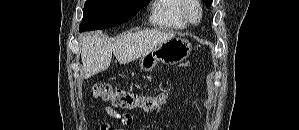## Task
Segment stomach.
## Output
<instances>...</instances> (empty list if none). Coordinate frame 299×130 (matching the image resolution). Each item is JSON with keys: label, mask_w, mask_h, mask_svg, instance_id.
Instances as JSON below:
<instances>
[{"label": "stomach", "mask_w": 299, "mask_h": 130, "mask_svg": "<svg viewBox=\"0 0 299 130\" xmlns=\"http://www.w3.org/2000/svg\"><path fill=\"white\" fill-rule=\"evenodd\" d=\"M192 51V44L180 37H173L158 45L139 60L141 70L152 71L159 62L173 65L184 61Z\"/></svg>", "instance_id": "obj_1"}]
</instances>
